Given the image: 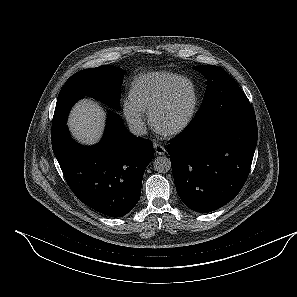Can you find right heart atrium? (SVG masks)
<instances>
[{"label":"right heart atrium","instance_id":"1","mask_svg":"<svg viewBox=\"0 0 297 297\" xmlns=\"http://www.w3.org/2000/svg\"><path fill=\"white\" fill-rule=\"evenodd\" d=\"M122 110L124 117L134 131L141 133L146 129L144 113L129 99L123 101Z\"/></svg>","mask_w":297,"mask_h":297}]
</instances>
